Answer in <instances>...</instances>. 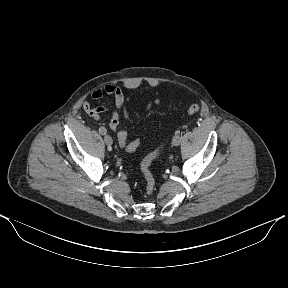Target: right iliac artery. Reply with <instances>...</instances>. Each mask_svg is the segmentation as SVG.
Wrapping results in <instances>:
<instances>
[{"label":"right iliac artery","mask_w":288,"mask_h":288,"mask_svg":"<svg viewBox=\"0 0 288 288\" xmlns=\"http://www.w3.org/2000/svg\"><path fill=\"white\" fill-rule=\"evenodd\" d=\"M99 133L102 134V135H105L107 133V130L105 127H100L99 128Z\"/></svg>","instance_id":"1"}]
</instances>
